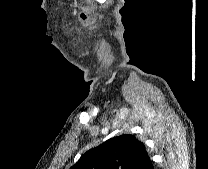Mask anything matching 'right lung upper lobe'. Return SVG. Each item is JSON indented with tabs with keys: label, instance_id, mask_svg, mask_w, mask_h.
Instances as JSON below:
<instances>
[{
	"label": "right lung upper lobe",
	"instance_id": "1",
	"mask_svg": "<svg viewBox=\"0 0 208 169\" xmlns=\"http://www.w3.org/2000/svg\"><path fill=\"white\" fill-rule=\"evenodd\" d=\"M151 164L145 145L123 134L88 150L70 169H148Z\"/></svg>",
	"mask_w": 208,
	"mask_h": 169
}]
</instances>
